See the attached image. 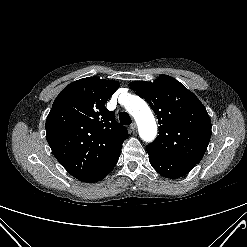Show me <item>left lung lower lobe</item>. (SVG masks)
I'll list each match as a JSON object with an SVG mask.
<instances>
[{"mask_svg":"<svg viewBox=\"0 0 247 247\" xmlns=\"http://www.w3.org/2000/svg\"><path fill=\"white\" fill-rule=\"evenodd\" d=\"M152 167L165 178L176 179L189 173L195 166L193 163L182 162L167 157L146 147Z\"/></svg>","mask_w":247,"mask_h":247,"instance_id":"obj_1","label":"left lung lower lobe"}]
</instances>
